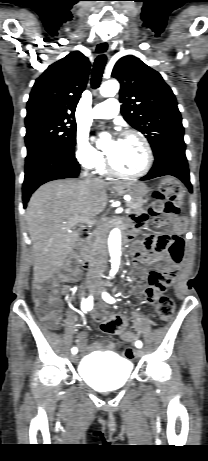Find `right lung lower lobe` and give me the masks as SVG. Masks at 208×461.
Instances as JSON below:
<instances>
[{
  "label": "right lung lower lobe",
  "instance_id": "1",
  "mask_svg": "<svg viewBox=\"0 0 208 461\" xmlns=\"http://www.w3.org/2000/svg\"><path fill=\"white\" fill-rule=\"evenodd\" d=\"M80 166L75 156L56 149H46L26 159L23 182V206L42 184L56 179L75 178Z\"/></svg>",
  "mask_w": 208,
  "mask_h": 461
}]
</instances>
